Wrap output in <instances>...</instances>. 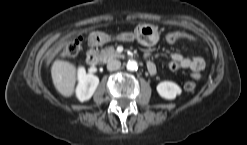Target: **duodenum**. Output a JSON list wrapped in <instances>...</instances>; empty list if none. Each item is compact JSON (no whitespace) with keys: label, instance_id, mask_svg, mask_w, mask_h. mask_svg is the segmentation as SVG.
<instances>
[{"label":"duodenum","instance_id":"1","mask_svg":"<svg viewBox=\"0 0 247 145\" xmlns=\"http://www.w3.org/2000/svg\"><path fill=\"white\" fill-rule=\"evenodd\" d=\"M103 37L100 35H94L91 38V48L86 52V59L90 66H96L98 63V57L95 51V48L103 43ZM148 71L151 73L156 72L154 63L147 62Z\"/></svg>","mask_w":247,"mask_h":145}]
</instances>
